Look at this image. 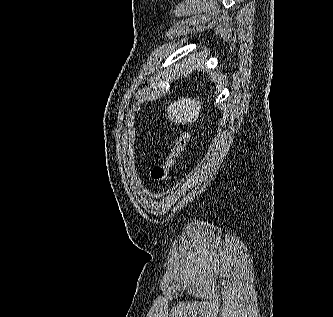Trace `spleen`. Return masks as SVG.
Returning a JSON list of instances; mask_svg holds the SVG:
<instances>
[{
    "instance_id": "3e777b00",
    "label": "spleen",
    "mask_w": 333,
    "mask_h": 317,
    "mask_svg": "<svg viewBox=\"0 0 333 317\" xmlns=\"http://www.w3.org/2000/svg\"><path fill=\"white\" fill-rule=\"evenodd\" d=\"M202 101L197 98L182 97L178 101L171 102L167 107V117L176 124L193 123L199 117Z\"/></svg>"
}]
</instances>
